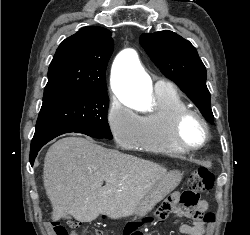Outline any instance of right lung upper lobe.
<instances>
[{"label":"right lung upper lobe","instance_id":"right-lung-upper-lobe-1","mask_svg":"<svg viewBox=\"0 0 250 235\" xmlns=\"http://www.w3.org/2000/svg\"><path fill=\"white\" fill-rule=\"evenodd\" d=\"M111 32L87 26L59 45L48 70L44 96L107 89L105 72L113 51Z\"/></svg>","mask_w":250,"mask_h":235}]
</instances>
